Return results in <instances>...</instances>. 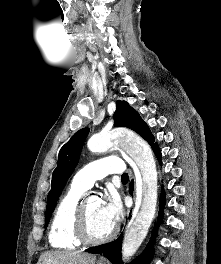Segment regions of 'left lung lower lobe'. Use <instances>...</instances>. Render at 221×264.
Returning <instances> with one entry per match:
<instances>
[{"mask_svg":"<svg viewBox=\"0 0 221 264\" xmlns=\"http://www.w3.org/2000/svg\"><path fill=\"white\" fill-rule=\"evenodd\" d=\"M152 149L155 152L159 163L161 164V152L159 150L158 145L156 144ZM130 186H131L130 193L132 194L133 182H131ZM164 204H165V193L162 190L160 210H159V216H158V222H157L158 224L162 221V212H163ZM152 241H153V239H152ZM121 248H122V234L114 242L103 244V245L96 246L93 248H89L86 251H88L90 253H95V254L102 253L113 264H122ZM152 255H153V250L151 247V243H149L147 245L146 249L144 250V252L138 258H136L133 262H131L130 264H150Z\"/></svg>","mask_w":221,"mask_h":264,"instance_id":"left-lung-lower-lobe-1","label":"left lung lower lobe"}]
</instances>
